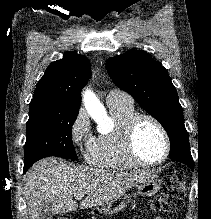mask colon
I'll use <instances>...</instances> for the list:
<instances>
[{
	"mask_svg": "<svg viewBox=\"0 0 211 219\" xmlns=\"http://www.w3.org/2000/svg\"><path fill=\"white\" fill-rule=\"evenodd\" d=\"M185 195V176L181 170H177L162 188V195L151 206L154 212L175 214L182 206ZM58 219H70L63 216Z\"/></svg>",
	"mask_w": 211,
	"mask_h": 219,
	"instance_id": "5ec220e1",
	"label": "colon"
}]
</instances>
